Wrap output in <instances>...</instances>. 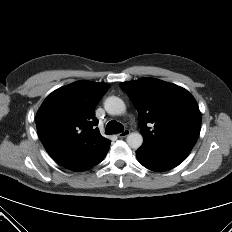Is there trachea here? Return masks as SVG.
I'll list each match as a JSON object with an SVG mask.
<instances>
[{"label":"trachea","mask_w":232,"mask_h":232,"mask_svg":"<svg viewBox=\"0 0 232 232\" xmlns=\"http://www.w3.org/2000/svg\"><path fill=\"white\" fill-rule=\"evenodd\" d=\"M124 131V127L121 123L112 120L110 121L106 126V134H116V133H122Z\"/></svg>","instance_id":"obj_1"}]
</instances>
